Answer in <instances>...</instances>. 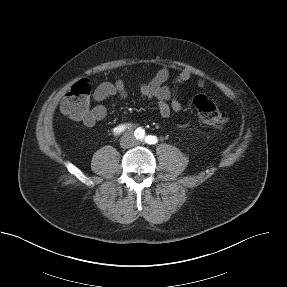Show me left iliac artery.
I'll return each instance as SVG.
<instances>
[{
    "label": "left iliac artery",
    "mask_w": 287,
    "mask_h": 287,
    "mask_svg": "<svg viewBox=\"0 0 287 287\" xmlns=\"http://www.w3.org/2000/svg\"><path fill=\"white\" fill-rule=\"evenodd\" d=\"M145 142L148 144H156L158 142V138L156 136L148 135L145 138Z\"/></svg>",
    "instance_id": "obj_1"
}]
</instances>
